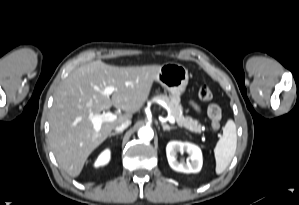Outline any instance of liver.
Here are the masks:
<instances>
[{
  "label": "liver",
  "mask_w": 299,
  "mask_h": 205,
  "mask_svg": "<svg viewBox=\"0 0 299 205\" xmlns=\"http://www.w3.org/2000/svg\"><path fill=\"white\" fill-rule=\"evenodd\" d=\"M160 67H117L97 60L79 67L64 80L51 108L49 143L58 164L69 176L77 177L89 155L111 131L143 107ZM107 86L115 88L111 97L103 94ZM112 106L125 113L102 123L96 133L89 115Z\"/></svg>",
  "instance_id": "liver-1"
}]
</instances>
